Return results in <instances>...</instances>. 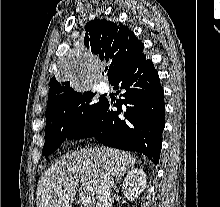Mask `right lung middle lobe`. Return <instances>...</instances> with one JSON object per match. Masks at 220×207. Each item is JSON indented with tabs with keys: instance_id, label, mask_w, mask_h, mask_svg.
I'll return each instance as SVG.
<instances>
[{
	"instance_id": "obj_1",
	"label": "right lung middle lobe",
	"mask_w": 220,
	"mask_h": 207,
	"mask_svg": "<svg viewBox=\"0 0 220 207\" xmlns=\"http://www.w3.org/2000/svg\"><path fill=\"white\" fill-rule=\"evenodd\" d=\"M95 93L75 92L64 98L51 112L46 113L44 156H49L62 142L70 139L74 132L88 122L98 111L104 99L94 103Z\"/></svg>"
}]
</instances>
